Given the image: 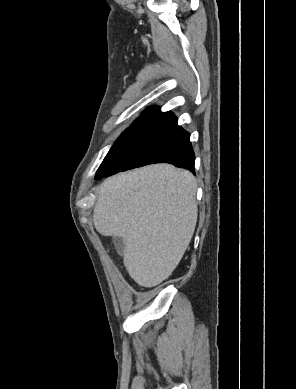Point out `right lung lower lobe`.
I'll return each mask as SVG.
<instances>
[{
    "label": "right lung lower lobe",
    "mask_w": 296,
    "mask_h": 389,
    "mask_svg": "<svg viewBox=\"0 0 296 389\" xmlns=\"http://www.w3.org/2000/svg\"><path fill=\"white\" fill-rule=\"evenodd\" d=\"M189 139L190 134L177 126L151 149L145 162L139 167L154 163H170L195 174V154ZM125 170L128 169H111L104 173H97L95 179L99 180Z\"/></svg>",
    "instance_id": "right-lung-lower-lobe-1"
}]
</instances>
